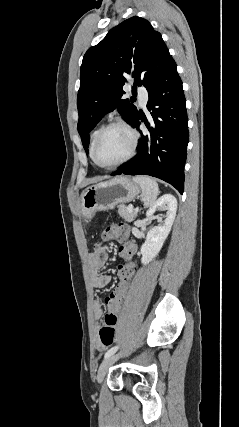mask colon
I'll return each mask as SVG.
<instances>
[{"label":"colon","instance_id":"1","mask_svg":"<svg viewBox=\"0 0 239 427\" xmlns=\"http://www.w3.org/2000/svg\"><path fill=\"white\" fill-rule=\"evenodd\" d=\"M129 230L130 227L126 222H110L101 235L104 242L121 244L118 248L121 262L117 263V281L103 299L104 304L108 305L104 325L99 332L100 342L104 347L114 342L121 307L125 304L127 294L131 292V282L134 281L137 273V263L132 260L137 250V243L131 239Z\"/></svg>","mask_w":239,"mask_h":427}]
</instances>
